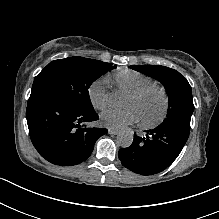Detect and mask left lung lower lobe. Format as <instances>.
Instances as JSON below:
<instances>
[{
	"mask_svg": "<svg viewBox=\"0 0 219 219\" xmlns=\"http://www.w3.org/2000/svg\"><path fill=\"white\" fill-rule=\"evenodd\" d=\"M190 128L182 124H160L147 130L145 137L134 135L131 146L119 150L121 163L141 175H152L165 170L182 151Z\"/></svg>",
	"mask_w": 219,
	"mask_h": 219,
	"instance_id": "left-lung-lower-lobe-1",
	"label": "left lung lower lobe"
}]
</instances>
